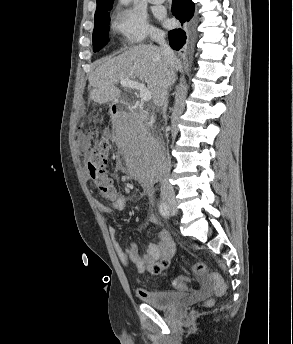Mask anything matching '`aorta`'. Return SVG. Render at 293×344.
<instances>
[{
  "instance_id": "1",
  "label": "aorta",
  "mask_w": 293,
  "mask_h": 344,
  "mask_svg": "<svg viewBox=\"0 0 293 344\" xmlns=\"http://www.w3.org/2000/svg\"><path fill=\"white\" fill-rule=\"evenodd\" d=\"M121 4L128 5L131 0H119Z\"/></svg>"
}]
</instances>
